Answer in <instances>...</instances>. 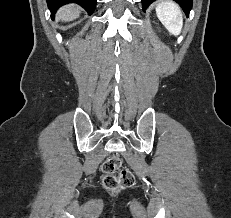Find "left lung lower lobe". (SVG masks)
Segmentation results:
<instances>
[{
    "label": "left lung lower lobe",
    "instance_id": "1",
    "mask_svg": "<svg viewBox=\"0 0 231 218\" xmlns=\"http://www.w3.org/2000/svg\"><path fill=\"white\" fill-rule=\"evenodd\" d=\"M154 1L155 0H142L143 9L144 10L147 9L148 6ZM174 1L177 2L182 7L186 15H189V12L192 8L193 0H174Z\"/></svg>",
    "mask_w": 231,
    "mask_h": 218
}]
</instances>
